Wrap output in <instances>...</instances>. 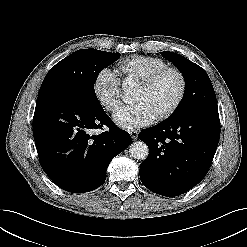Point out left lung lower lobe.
I'll return each instance as SVG.
<instances>
[{"instance_id": "left-lung-lower-lobe-1", "label": "left lung lower lobe", "mask_w": 247, "mask_h": 247, "mask_svg": "<svg viewBox=\"0 0 247 247\" xmlns=\"http://www.w3.org/2000/svg\"><path fill=\"white\" fill-rule=\"evenodd\" d=\"M149 147L140 164L145 187L163 196L181 195L207 174L220 137L218 108L197 110L141 130Z\"/></svg>"}]
</instances>
